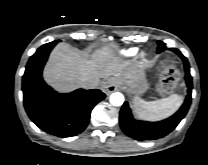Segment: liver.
<instances>
[{"instance_id": "liver-1", "label": "liver", "mask_w": 208, "mask_h": 165, "mask_svg": "<svg viewBox=\"0 0 208 165\" xmlns=\"http://www.w3.org/2000/svg\"><path fill=\"white\" fill-rule=\"evenodd\" d=\"M120 74L108 46L89 56L66 43H60L50 55L44 70V79L56 90L68 92L84 87L91 80L117 77Z\"/></svg>"}]
</instances>
